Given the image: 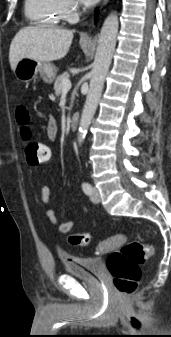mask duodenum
I'll use <instances>...</instances> for the list:
<instances>
[{"label":"duodenum","mask_w":171,"mask_h":337,"mask_svg":"<svg viewBox=\"0 0 171 337\" xmlns=\"http://www.w3.org/2000/svg\"><path fill=\"white\" fill-rule=\"evenodd\" d=\"M79 125V115L77 113L73 114L70 119V128L71 130H76Z\"/></svg>","instance_id":"duodenum-1"}]
</instances>
